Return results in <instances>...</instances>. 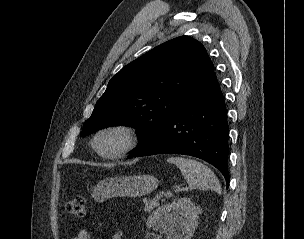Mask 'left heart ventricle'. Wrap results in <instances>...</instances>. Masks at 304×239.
<instances>
[{"mask_svg": "<svg viewBox=\"0 0 304 239\" xmlns=\"http://www.w3.org/2000/svg\"><path fill=\"white\" fill-rule=\"evenodd\" d=\"M121 138L117 134H108L100 139L99 145L104 151H111L119 147Z\"/></svg>", "mask_w": 304, "mask_h": 239, "instance_id": "1", "label": "left heart ventricle"}]
</instances>
